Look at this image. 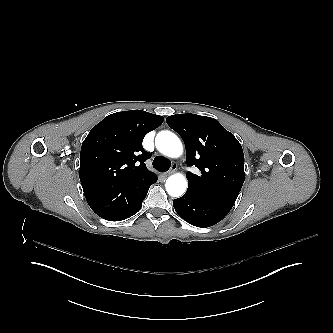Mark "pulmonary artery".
I'll return each mask as SVG.
<instances>
[{
  "instance_id": "obj_1",
  "label": "pulmonary artery",
  "mask_w": 333,
  "mask_h": 333,
  "mask_svg": "<svg viewBox=\"0 0 333 333\" xmlns=\"http://www.w3.org/2000/svg\"><path fill=\"white\" fill-rule=\"evenodd\" d=\"M184 172H185L186 174H191V173L193 172V167H192L191 165H186V166L184 167Z\"/></svg>"
}]
</instances>
